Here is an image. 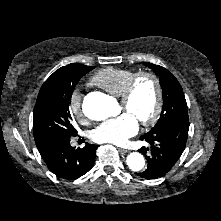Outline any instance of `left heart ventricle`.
<instances>
[{
    "label": "left heart ventricle",
    "instance_id": "left-heart-ventricle-1",
    "mask_svg": "<svg viewBox=\"0 0 221 221\" xmlns=\"http://www.w3.org/2000/svg\"><path fill=\"white\" fill-rule=\"evenodd\" d=\"M155 87L149 78H141L137 81L131 100L122 104L119 103L120 112H128L137 120L148 118L155 105Z\"/></svg>",
    "mask_w": 221,
    "mask_h": 221
}]
</instances>
